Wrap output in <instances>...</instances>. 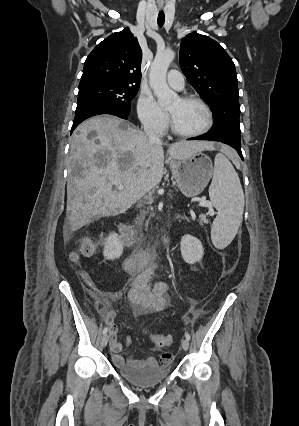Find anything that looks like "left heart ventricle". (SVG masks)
I'll return each mask as SVG.
<instances>
[{
	"instance_id": "obj_1",
	"label": "left heart ventricle",
	"mask_w": 299,
	"mask_h": 426,
	"mask_svg": "<svg viewBox=\"0 0 299 426\" xmlns=\"http://www.w3.org/2000/svg\"><path fill=\"white\" fill-rule=\"evenodd\" d=\"M176 127L184 132H194L204 127L206 114L195 102H184L175 99L167 108Z\"/></svg>"
}]
</instances>
